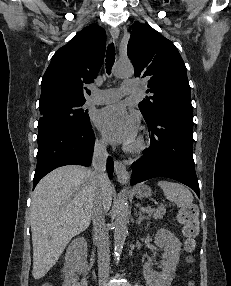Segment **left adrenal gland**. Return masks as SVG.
Instances as JSON below:
<instances>
[{"label": "left adrenal gland", "instance_id": "1", "mask_svg": "<svg viewBox=\"0 0 231 286\" xmlns=\"http://www.w3.org/2000/svg\"><path fill=\"white\" fill-rule=\"evenodd\" d=\"M138 216H139V218H138L137 223L140 224V223L142 222V220L146 218V216H144V215L142 214V211H139V212H138Z\"/></svg>", "mask_w": 231, "mask_h": 286}]
</instances>
